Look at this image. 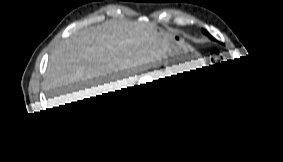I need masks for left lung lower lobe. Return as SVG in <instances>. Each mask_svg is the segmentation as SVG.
I'll list each match as a JSON object with an SVG mask.
<instances>
[{"mask_svg": "<svg viewBox=\"0 0 283 162\" xmlns=\"http://www.w3.org/2000/svg\"><path fill=\"white\" fill-rule=\"evenodd\" d=\"M209 37L213 39V37ZM213 52L218 53V50L214 49ZM227 63H229L227 66L229 69L226 71L230 72V74L227 75L228 78L218 82V84H223L225 87L224 90H219V93L233 90L239 79V77L231 76L235 69L234 61H227ZM161 90L162 88L157 84V90L153 99L159 120L167 128L182 131L184 134H207L213 132L219 125V122L225 117L229 107V102L226 104V101H223L222 103L205 104L188 110L174 111L168 109L167 97L161 94Z\"/></svg>", "mask_w": 283, "mask_h": 162, "instance_id": "0a47b994", "label": "left lung lower lobe"}]
</instances>
